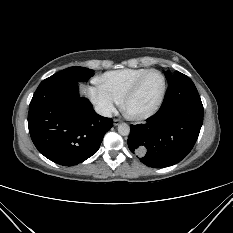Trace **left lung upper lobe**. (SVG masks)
I'll list each match as a JSON object with an SVG mask.
<instances>
[{
    "instance_id": "5c2ea615",
    "label": "left lung upper lobe",
    "mask_w": 233,
    "mask_h": 233,
    "mask_svg": "<svg viewBox=\"0 0 233 233\" xmlns=\"http://www.w3.org/2000/svg\"><path fill=\"white\" fill-rule=\"evenodd\" d=\"M165 76H166L167 81L169 82L171 79V76H172L171 73L169 71H167V72H165Z\"/></svg>"
}]
</instances>
